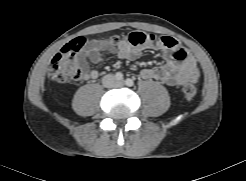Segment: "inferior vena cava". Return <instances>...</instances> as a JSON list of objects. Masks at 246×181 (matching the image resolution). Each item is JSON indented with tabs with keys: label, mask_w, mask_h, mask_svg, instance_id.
<instances>
[{
	"label": "inferior vena cava",
	"mask_w": 246,
	"mask_h": 181,
	"mask_svg": "<svg viewBox=\"0 0 246 181\" xmlns=\"http://www.w3.org/2000/svg\"><path fill=\"white\" fill-rule=\"evenodd\" d=\"M116 79L114 77V75L112 74H108V75H105L103 78H102V83L105 87H112L115 83Z\"/></svg>",
	"instance_id": "inferior-vena-cava-1"
}]
</instances>
